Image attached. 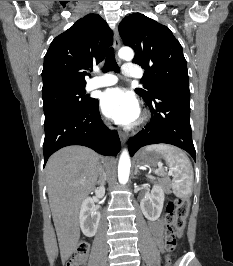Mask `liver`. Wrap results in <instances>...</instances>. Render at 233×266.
Here are the masks:
<instances>
[{"label":"liver","mask_w":233,"mask_h":266,"mask_svg":"<svg viewBox=\"0 0 233 266\" xmlns=\"http://www.w3.org/2000/svg\"><path fill=\"white\" fill-rule=\"evenodd\" d=\"M101 163L110 167L112 158H102L83 146H68L54 153L45 168L49 204L57 233L60 256L65 262L79 237V210L94 189Z\"/></svg>","instance_id":"obj_1"}]
</instances>
